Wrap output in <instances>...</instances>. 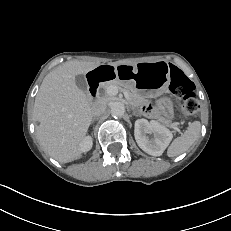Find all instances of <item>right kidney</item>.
<instances>
[{
    "label": "right kidney",
    "instance_id": "ca27d5eb",
    "mask_svg": "<svg viewBox=\"0 0 231 231\" xmlns=\"http://www.w3.org/2000/svg\"><path fill=\"white\" fill-rule=\"evenodd\" d=\"M92 147V138L90 136H87L81 143V150L82 152H87Z\"/></svg>",
    "mask_w": 231,
    "mask_h": 231
}]
</instances>
